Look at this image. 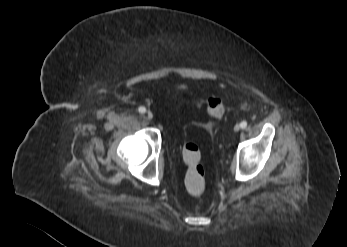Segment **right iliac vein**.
Listing matches in <instances>:
<instances>
[{"label":"right iliac vein","mask_w":347,"mask_h":247,"mask_svg":"<svg viewBox=\"0 0 347 247\" xmlns=\"http://www.w3.org/2000/svg\"><path fill=\"white\" fill-rule=\"evenodd\" d=\"M146 116H147L148 119H152V118H153V114H152V112H150V111H148V112L146 113Z\"/></svg>","instance_id":"right-iliac-vein-1"}]
</instances>
